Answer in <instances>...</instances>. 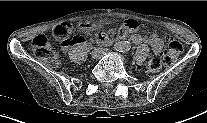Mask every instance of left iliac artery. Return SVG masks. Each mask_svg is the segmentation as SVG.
<instances>
[{"label": "left iliac artery", "instance_id": "1", "mask_svg": "<svg viewBox=\"0 0 207 123\" xmlns=\"http://www.w3.org/2000/svg\"><path fill=\"white\" fill-rule=\"evenodd\" d=\"M117 51H120V52H125V51H123V50H121V49H116ZM127 50V49H126Z\"/></svg>", "mask_w": 207, "mask_h": 123}]
</instances>
